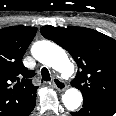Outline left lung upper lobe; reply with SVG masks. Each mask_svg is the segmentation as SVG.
<instances>
[{
	"mask_svg": "<svg viewBox=\"0 0 116 116\" xmlns=\"http://www.w3.org/2000/svg\"><path fill=\"white\" fill-rule=\"evenodd\" d=\"M42 35L66 49L78 65L71 85L83 98L116 101V40L92 29L69 26L41 28Z\"/></svg>",
	"mask_w": 116,
	"mask_h": 116,
	"instance_id": "obj_1",
	"label": "left lung upper lobe"
}]
</instances>
